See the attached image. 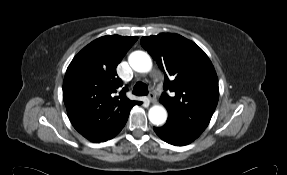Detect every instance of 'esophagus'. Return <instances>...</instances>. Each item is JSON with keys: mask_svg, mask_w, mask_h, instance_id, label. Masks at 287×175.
I'll return each mask as SVG.
<instances>
[{"mask_svg": "<svg viewBox=\"0 0 287 175\" xmlns=\"http://www.w3.org/2000/svg\"><path fill=\"white\" fill-rule=\"evenodd\" d=\"M148 98H149L150 102H152V103L156 102V96L153 92L149 93Z\"/></svg>", "mask_w": 287, "mask_h": 175, "instance_id": "esophagus-1", "label": "esophagus"}]
</instances>
